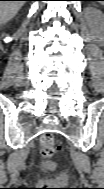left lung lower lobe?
<instances>
[{
    "instance_id": "obj_1",
    "label": "left lung lower lobe",
    "mask_w": 104,
    "mask_h": 189,
    "mask_svg": "<svg viewBox=\"0 0 104 189\" xmlns=\"http://www.w3.org/2000/svg\"><path fill=\"white\" fill-rule=\"evenodd\" d=\"M80 1H102V0H80Z\"/></svg>"
}]
</instances>
